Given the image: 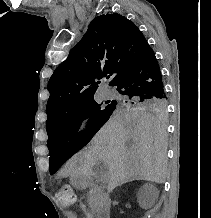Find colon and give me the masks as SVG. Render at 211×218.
I'll return each mask as SVG.
<instances>
[{
    "mask_svg": "<svg viewBox=\"0 0 211 218\" xmlns=\"http://www.w3.org/2000/svg\"><path fill=\"white\" fill-rule=\"evenodd\" d=\"M58 199L63 203H72L75 201V195L70 185H62L57 192Z\"/></svg>",
    "mask_w": 211,
    "mask_h": 218,
    "instance_id": "colon-1",
    "label": "colon"
}]
</instances>
